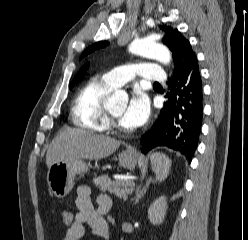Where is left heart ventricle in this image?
I'll use <instances>...</instances> for the list:
<instances>
[{
    "mask_svg": "<svg viewBox=\"0 0 248 240\" xmlns=\"http://www.w3.org/2000/svg\"><path fill=\"white\" fill-rule=\"evenodd\" d=\"M127 103L123 102L122 104H120L119 106L112 108L110 110V113L118 120V122L124 127V128H128L123 122H122V116L125 112Z\"/></svg>",
    "mask_w": 248,
    "mask_h": 240,
    "instance_id": "1",
    "label": "left heart ventricle"
}]
</instances>
